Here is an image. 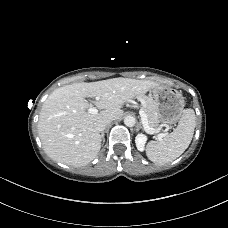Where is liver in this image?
<instances>
[{"mask_svg": "<svg viewBox=\"0 0 228 228\" xmlns=\"http://www.w3.org/2000/svg\"><path fill=\"white\" fill-rule=\"evenodd\" d=\"M159 84L150 80L113 78L81 82L54 90L44 102L38 121V133L45 153L63 164L81 167L91 162L101 148V135L95 123L117 120L123 115L125 102L144 97ZM101 112L90 114L91 104Z\"/></svg>", "mask_w": 228, "mask_h": 228, "instance_id": "obj_1", "label": "liver"}]
</instances>
